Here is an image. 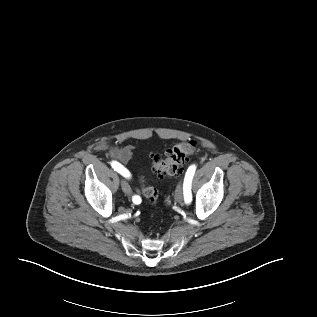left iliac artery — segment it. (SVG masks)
Returning <instances> with one entry per match:
<instances>
[{"label":"left iliac artery","mask_w":317,"mask_h":317,"mask_svg":"<svg viewBox=\"0 0 317 317\" xmlns=\"http://www.w3.org/2000/svg\"><path fill=\"white\" fill-rule=\"evenodd\" d=\"M196 170V165L192 164L186 174H185V178H184V182H183V191H184V199L186 203L191 202L192 200V194H191V182H192V178L194 176Z\"/></svg>","instance_id":"1"}]
</instances>
